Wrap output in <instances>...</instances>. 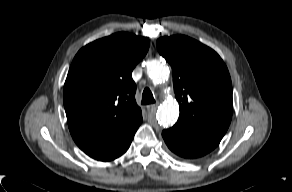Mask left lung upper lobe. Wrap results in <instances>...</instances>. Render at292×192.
Returning <instances> with one entry per match:
<instances>
[{"instance_id":"5c2ea615","label":"left lung upper lobe","mask_w":292,"mask_h":192,"mask_svg":"<svg viewBox=\"0 0 292 192\" xmlns=\"http://www.w3.org/2000/svg\"><path fill=\"white\" fill-rule=\"evenodd\" d=\"M159 53L172 67L180 106L172 127L191 135L221 141L232 118V84L226 65L211 48L183 35L157 40Z\"/></svg>"}]
</instances>
